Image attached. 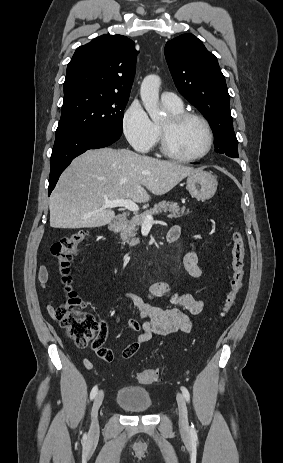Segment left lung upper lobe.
<instances>
[{
	"mask_svg": "<svg viewBox=\"0 0 283 463\" xmlns=\"http://www.w3.org/2000/svg\"><path fill=\"white\" fill-rule=\"evenodd\" d=\"M165 57L178 91L209 120L215 151L237 158L230 96L217 58L192 34L168 41Z\"/></svg>",
	"mask_w": 283,
	"mask_h": 463,
	"instance_id": "obj_1",
	"label": "left lung upper lobe"
}]
</instances>
